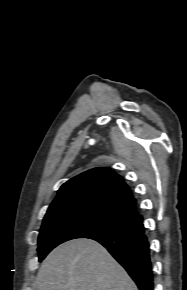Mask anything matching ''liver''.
Returning <instances> with one entry per match:
<instances>
[{
    "label": "liver",
    "instance_id": "1",
    "mask_svg": "<svg viewBox=\"0 0 187 290\" xmlns=\"http://www.w3.org/2000/svg\"><path fill=\"white\" fill-rule=\"evenodd\" d=\"M36 290H138L109 252L91 239H74L52 250L36 278Z\"/></svg>",
    "mask_w": 187,
    "mask_h": 290
}]
</instances>
